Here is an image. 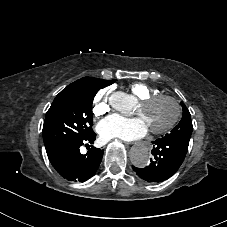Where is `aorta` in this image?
Here are the masks:
<instances>
[{"instance_id": "aorta-1", "label": "aorta", "mask_w": 227, "mask_h": 227, "mask_svg": "<svg viewBox=\"0 0 227 227\" xmlns=\"http://www.w3.org/2000/svg\"><path fill=\"white\" fill-rule=\"evenodd\" d=\"M149 157L148 148L144 145L136 146L130 152V160L135 167H145L149 162Z\"/></svg>"}]
</instances>
